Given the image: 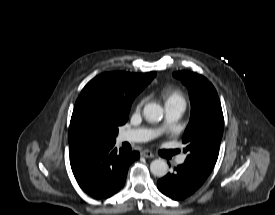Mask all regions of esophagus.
Wrapping results in <instances>:
<instances>
[{
	"label": "esophagus",
	"mask_w": 275,
	"mask_h": 215,
	"mask_svg": "<svg viewBox=\"0 0 275 215\" xmlns=\"http://www.w3.org/2000/svg\"><path fill=\"white\" fill-rule=\"evenodd\" d=\"M141 156H143V157H146V158H154V154L151 152V151H149V150H142L141 151Z\"/></svg>",
	"instance_id": "esophagus-1"
}]
</instances>
